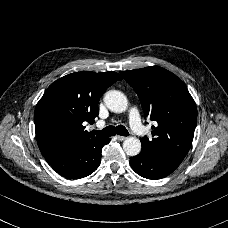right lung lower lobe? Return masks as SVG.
<instances>
[{
    "mask_svg": "<svg viewBox=\"0 0 228 228\" xmlns=\"http://www.w3.org/2000/svg\"><path fill=\"white\" fill-rule=\"evenodd\" d=\"M109 142L110 138L95 137L45 159L62 176L70 179L83 178L98 168L102 148Z\"/></svg>",
    "mask_w": 228,
    "mask_h": 228,
    "instance_id": "1",
    "label": "right lung lower lobe"
}]
</instances>
